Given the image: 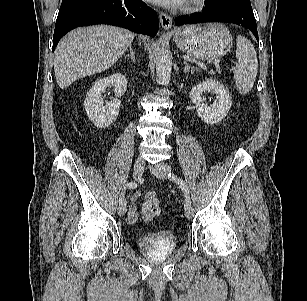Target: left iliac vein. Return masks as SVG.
Wrapping results in <instances>:
<instances>
[{
    "label": "left iliac vein",
    "mask_w": 307,
    "mask_h": 301,
    "mask_svg": "<svg viewBox=\"0 0 307 301\" xmlns=\"http://www.w3.org/2000/svg\"><path fill=\"white\" fill-rule=\"evenodd\" d=\"M149 168L152 174L163 180L167 178V174L171 171L170 166L164 162H159L154 166H150ZM193 215L194 209L191 205H188L185 208V216L187 217V219H191Z\"/></svg>",
    "instance_id": "4c4485c4"
}]
</instances>
